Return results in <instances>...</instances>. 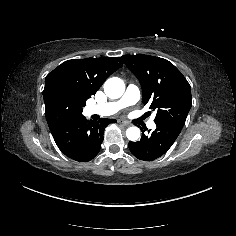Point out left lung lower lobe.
Returning <instances> with one entry per match:
<instances>
[{"instance_id":"obj_1","label":"left lung lower lobe","mask_w":236,"mask_h":236,"mask_svg":"<svg viewBox=\"0 0 236 236\" xmlns=\"http://www.w3.org/2000/svg\"><path fill=\"white\" fill-rule=\"evenodd\" d=\"M156 126L149 136L142 130L140 141L129 142V149L136 158L153 161L161 157L170 149L182 129V125L174 122H160Z\"/></svg>"}]
</instances>
